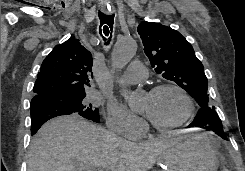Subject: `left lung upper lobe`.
<instances>
[{
	"label": "left lung upper lobe",
	"mask_w": 245,
	"mask_h": 171,
	"mask_svg": "<svg viewBox=\"0 0 245 171\" xmlns=\"http://www.w3.org/2000/svg\"><path fill=\"white\" fill-rule=\"evenodd\" d=\"M137 31L151 66L165 79L187 91L200 109L215 108L208 103L207 77L192 45L176 30L154 22H141Z\"/></svg>",
	"instance_id": "1"
}]
</instances>
